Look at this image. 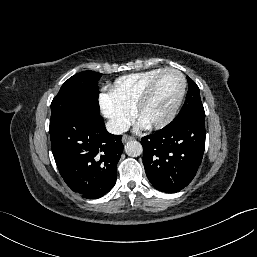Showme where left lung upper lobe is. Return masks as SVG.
Wrapping results in <instances>:
<instances>
[{
	"mask_svg": "<svg viewBox=\"0 0 257 257\" xmlns=\"http://www.w3.org/2000/svg\"><path fill=\"white\" fill-rule=\"evenodd\" d=\"M188 80V92L186 101L182 106L179 114L175 117L176 119H182L188 116H204L205 112L200 98V91L196 83L187 77Z\"/></svg>",
	"mask_w": 257,
	"mask_h": 257,
	"instance_id": "obj_1",
	"label": "left lung upper lobe"
}]
</instances>
